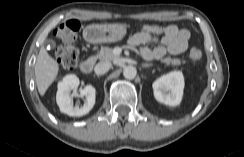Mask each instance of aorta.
Instances as JSON below:
<instances>
[{
	"label": "aorta",
	"mask_w": 244,
	"mask_h": 157,
	"mask_svg": "<svg viewBox=\"0 0 244 157\" xmlns=\"http://www.w3.org/2000/svg\"><path fill=\"white\" fill-rule=\"evenodd\" d=\"M137 70L134 66H126L123 70V75L126 79L132 80L136 77Z\"/></svg>",
	"instance_id": "aorta-1"
}]
</instances>
